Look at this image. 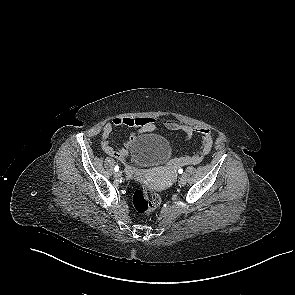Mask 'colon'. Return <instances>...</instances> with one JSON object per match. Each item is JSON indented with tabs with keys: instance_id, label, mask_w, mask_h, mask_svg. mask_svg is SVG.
Returning <instances> with one entry per match:
<instances>
[{
	"instance_id": "colon-1",
	"label": "colon",
	"mask_w": 295,
	"mask_h": 295,
	"mask_svg": "<svg viewBox=\"0 0 295 295\" xmlns=\"http://www.w3.org/2000/svg\"><path fill=\"white\" fill-rule=\"evenodd\" d=\"M159 195L149 187L137 189L132 197V203L137 213L150 215L160 204Z\"/></svg>"
}]
</instances>
